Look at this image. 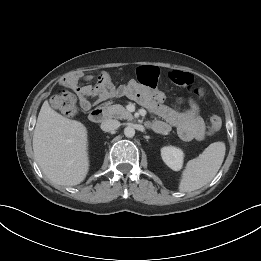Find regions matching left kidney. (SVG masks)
<instances>
[{
	"instance_id": "1",
	"label": "left kidney",
	"mask_w": 261,
	"mask_h": 261,
	"mask_svg": "<svg viewBox=\"0 0 261 261\" xmlns=\"http://www.w3.org/2000/svg\"><path fill=\"white\" fill-rule=\"evenodd\" d=\"M161 157L165 164L174 171H179L183 167L184 153L174 146H166L161 149Z\"/></svg>"
}]
</instances>
